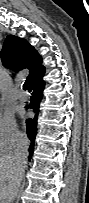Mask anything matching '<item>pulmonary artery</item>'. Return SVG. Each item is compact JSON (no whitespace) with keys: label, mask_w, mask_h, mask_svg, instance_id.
Segmentation results:
<instances>
[{"label":"pulmonary artery","mask_w":89,"mask_h":203,"mask_svg":"<svg viewBox=\"0 0 89 203\" xmlns=\"http://www.w3.org/2000/svg\"><path fill=\"white\" fill-rule=\"evenodd\" d=\"M17 98L20 100V101H26L28 99V94L24 91H18L17 92Z\"/></svg>","instance_id":"pulmonary-artery-1"}]
</instances>
